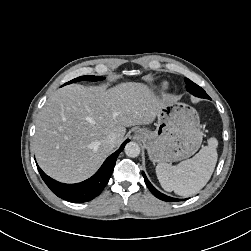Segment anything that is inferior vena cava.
Listing matches in <instances>:
<instances>
[{
	"label": "inferior vena cava",
	"instance_id": "obj_1",
	"mask_svg": "<svg viewBox=\"0 0 251 251\" xmlns=\"http://www.w3.org/2000/svg\"><path fill=\"white\" fill-rule=\"evenodd\" d=\"M117 135L115 133H111L107 136L106 142L107 144L114 146L116 144Z\"/></svg>",
	"mask_w": 251,
	"mask_h": 251
}]
</instances>
